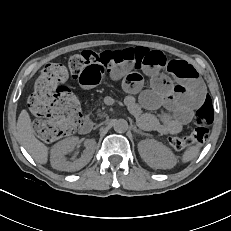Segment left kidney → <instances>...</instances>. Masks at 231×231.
<instances>
[{"label":"left kidney","mask_w":231,"mask_h":231,"mask_svg":"<svg viewBox=\"0 0 231 231\" xmlns=\"http://www.w3.org/2000/svg\"><path fill=\"white\" fill-rule=\"evenodd\" d=\"M138 151L141 158L153 169H171L177 162L168 147L153 139L140 141Z\"/></svg>","instance_id":"left-kidney-1"}]
</instances>
